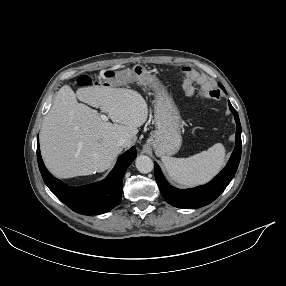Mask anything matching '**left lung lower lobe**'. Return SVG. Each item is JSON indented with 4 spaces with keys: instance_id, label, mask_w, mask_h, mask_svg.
I'll return each mask as SVG.
<instances>
[{
    "instance_id": "1",
    "label": "left lung lower lobe",
    "mask_w": 286,
    "mask_h": 286,
    "mask_svg": "<svg viewBox=\"0 0 286 286\" xmlns=\"http://www.w3.org/2000/svg\"><path fill=\"white\" fill-rule=\"evenodd\" d=\"M229 108L232 111L236 125V146L230 157V160L226 167L221 171L216 178L209 183L198 186L192 189H176L169 185L160 171V168L156 163L155 165V179L159 186V189L168 203L175 207L191 209L198 208L210 204L214 201L228 186L233 179L241 157V124L237 111L232 107L228 101Z\"/></svg>"
}]
</instances>
